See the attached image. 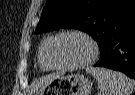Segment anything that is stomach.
Here are the masks:
<instances>
[{"label":"stomach","instance_id":"obj_1","mask_svg":"<svg viewBox=\"0 0 135 95\" xmlns=\"http://www.w3.org/2000/svg\"><path fill=\"white\" fill-rule=\"evenodd\" d=\"M93 82L81 74H68L50 80L35 95H89Z\"/></svg>","mask_w":135,"mask_h":95}]
</instances>
